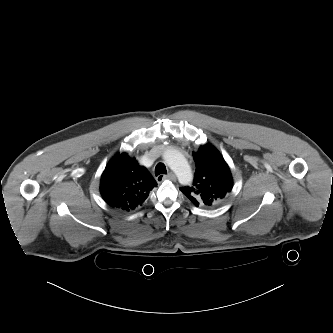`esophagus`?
<instances>
[{"instance_id": "1", "label": "esophagus", "mask_w": 333, "mask_h": 333, "mask_svg": "<svg viewBox=\"0 0 333 333\" xmlns=\"http://www.w3.org/2000/svg\"><path fill=\"white\" fill-rule=\"evenodd\" d=\"M157 182L160 183L164 180H171V181H175L176 180V176L173 173H169L168 175H159L156 178Z\"/></svg>"}]
</instances>
